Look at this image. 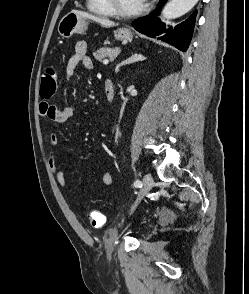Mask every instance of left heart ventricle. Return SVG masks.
<instances>
[{"mask_svg":"<svg viewBox=\"0 0 249 294\" xmlns=\"http://www.w3.org/2000/svg\"><path fill=\"white\" fill-rule=\"evenodd\" d=\"M118 4L122 9L131 11L140 8L143 2L142 0H118Z\"/></svg>","mask_w":249,"mask_h":294,"instance_id":"left-heart-ventricle-1","label":"left heart ventricle"}]
</instances>
